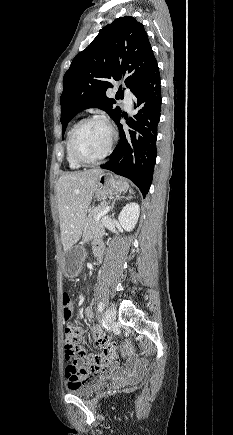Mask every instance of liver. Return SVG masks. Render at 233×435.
<instances>
[{"label":"liver","mask_w":233,"mask_h":435,"mask_svg":"<svg viewBox=\"0 0 233 435\" xmlns=\"http://www.w3.org/2000/svg\"><path fill=\"white\" fill-rule=\"evenodd\" d=\"M101 169L71 172L57 182V202L61 242L67 250L76 244L82 234L86 213L95 193V184Z\"/></svg>","instance_id":"6515ba94"}]
</instances>
